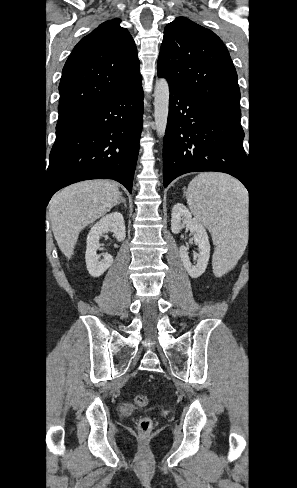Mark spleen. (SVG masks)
<instances>
[{
  "label": "spleen",
  "instance_id": "1",
  "mask_svg": "<svg viewBox=\"0 0 297 488\" xmlns=\"http://www.w3.org/2000/svg\"><path fill=\"white\" fill-rule=\"evenodd\" d=\"M187 203L193 214L211 232L214 267L232 268L245 248L248 194L228 175L201 173L189 184Z\"/></svg>",
  "mask_w": 297,
  "mask_h": 488
}]
</instances>
